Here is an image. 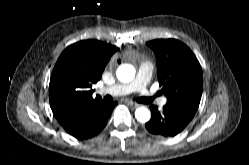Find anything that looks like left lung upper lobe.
<instances>
[{
  "instance_id": "obj_1",
  "label": "left lung upper lobe",
  "mask_w": 249,
  "mask_h": 165,
  "mask_svg": "<svg viewBox=\"0 0 249 165\" xmlns=\"http://www.w3.org/2000/svg\"><path fill=\"white\" fill-rule=\"evenodd\" d=\"M153 49L159 73V85L168 99L167 105L195 114L202 95V68L193 52L175 39L147 42Z\"/></svg>"
}]
</instances>
